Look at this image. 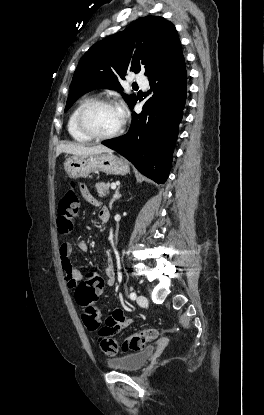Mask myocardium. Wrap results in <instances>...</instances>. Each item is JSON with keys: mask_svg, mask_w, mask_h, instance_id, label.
Masks as SVG:
<instances>
[{"mask_svg": "<svg viewBox=\"0 0 264 415\" xmlns=\"http://www.w3.org/2000/svg\"><path fill=\"white\" fill-rule=\"evenodd\" d=\"M102 106H113V107L118 108V105L112 100L95 99L85 104L79 110L77 114V118H76L77 128L82 134H84L86 137L90 138L91 140L101 141V140L114 139L122 134V132L124 131L125 125H126L125 116H122L121 124L116 131L110 134H106V135H100V134L95 133L92 129L89 128L87 121H86V117L92 110L98 107H102Z\"/></svg>", "mask_w": 264, "mask_h": 415, "instance_id": "myocardium-1", "label": "myocardium"}]
</instances>
